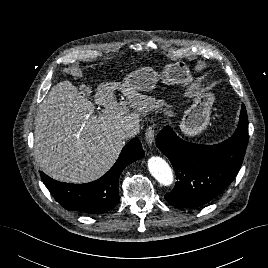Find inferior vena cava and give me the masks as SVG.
<instances>
[{
    "label": "inferior vena cava",
    "mask_w": 268,
    "mask_h": 268,
    "mask_svg": "<svg viewBox=\"0 0 268 268\" xmlns=\"http://www.w3.org/2000/svg\"><path fill=\"white\" fill-rule=\"evenodd\" d=\"M138 133H139V125H136V126H133L131 128H127L124 131L118 132L117 136L122 138V139H127V138L134 137Z\"/></svg>",
    "instance_id": "602c4592"
}]
</instances>
